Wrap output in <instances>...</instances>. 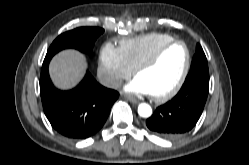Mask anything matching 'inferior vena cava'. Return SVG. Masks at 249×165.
<instances>
[{"instance_id":"602c4592","label":"inferior vena cava","mask_w":249,"mask_h":165,"mask_svg":"<svg viewBox=\"0 0 249 165\" xmlns=\"http://www.w3.org/2000/svg\"><path fill=\"white\" fill-rule=\"evenodd\" d=\"M102 84L106 87L117 89L122 85V81L117 78L108 77L102 80Z\"/></svg>"}]
</instances>
